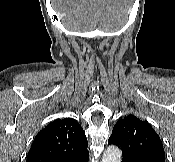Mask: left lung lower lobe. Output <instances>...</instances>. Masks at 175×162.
I'll list each match as a JSON object with an SVG mask.
<instances>
[{
    "label": "left lung lower lobe",
    "mask_w": 175,
    "mask_h": 162,
    "mask_svg": "<svg viewBox=\"0 0 175 162\" xmlns=\"http://www.w3.org/2000/svg\"><path fill=\"white\" fill-rule=\"evenodd\" d=\"M137 162H165V160L160 158H146V159L139 160Z\"/></svg>",
    "instance_id": "0a47b994"
}]
</instances>
